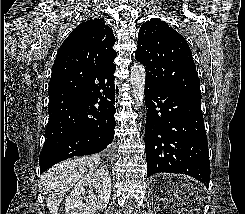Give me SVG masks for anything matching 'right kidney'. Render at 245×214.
<instances>
[{"instance_id":"ca27d5eb","label":"right kidney","mask_w":245,"mask_h":214,"mask_svg":"<svg viewBox=\"0 0 245 214\" xmlns=\"http://www.w3.org/2000/svg\"><path fill=\"white\" fill-rule=\"evenodd\" d=\"M88 188V190H86ZM88 194L86 203L83 199ZM111 194V178L104 169H94L79 180L65 200V214H95L106 208Z\"/></svg>"}]
</instances>
